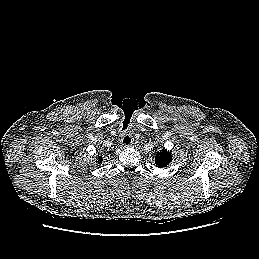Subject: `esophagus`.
I'll return each instance as SVG.
<instances>
[{
  "instance_id": "esophagus-1",
  "label": "esophagus",
  "mask_w": 259,
  "mask_h": 259,
  "mask_svg": "<svg viewBox=\"0 0 259 259\" xmlns=\"http://www.w3.org/2000/svg\"><path fill=\"white\" fill-rule=\"evenodd\" d=\"M121 142L124 146L129 147L133 144V139L129 134H125L122 137Z\"/></svg>"
}]
</instances>
